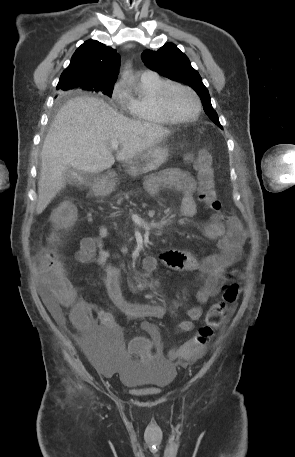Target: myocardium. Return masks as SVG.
I'll list each match as a JSON object with an SVG mask.
<instances>
[{"label":"myocardium","instance_id":"f54148a6","mask_svg":"<svg viewBox=\"0 0 295 457\" xmlns=\"http://www.w3.org/2000/svg\"><path fill=\"white\" fill-rule=\"evenodd\" d=\"M172 88H181L188 91L195 100L196 109L193 115L189 117H177L174 116L171 111L169 110L166 102L167 94ZM156 103L159 111L170 121L173 123H186L197 119L201 113L202 105L201 100L198 94L189 86L178 83V82H166L163 84L156 94Z\"/></svg>","mask_w":295,"mask_h":457}]
</instances>
